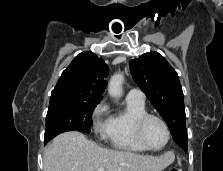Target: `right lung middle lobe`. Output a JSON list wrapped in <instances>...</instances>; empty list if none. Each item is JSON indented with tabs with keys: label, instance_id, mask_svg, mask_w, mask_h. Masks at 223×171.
<instances>
[{
	"label": "right lung middle lobe",
	"instance_id": "right-lung-middle-lobe-1",
	"mask_svg": "<svg viewBox=\"0 0 223 171\" xmlns=\"http://www.w3.org/2000/svg\"><path fill=\"white\" fill-rule=\"evenodd\" d=\"M100 101L65 98L50 100L46 116L45 143L60 133L91 131L92 113Z\"/></svg>",
	"mask_w": 223,
	"mask_h": 171
}]
</instances>
